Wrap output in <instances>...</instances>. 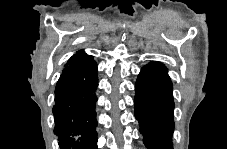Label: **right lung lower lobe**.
<instances>
[{
    "label": "right lung lower lobe",
    "instance_id": "1",
    "mask_svg": "<svg viewBox=\"0 0 227 149\" xmlns=\"http://www.w3.org/2000/svg\"><path fill=\"white\" fill-rule=\"evenodd\" d=\"M97 65L92 56L67 65L55 89V128L61 149H97Z\"/></svg>",
    "mask_w": 227,
    "mask_h": 149
}]
</instances>
